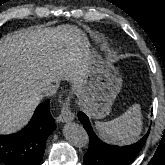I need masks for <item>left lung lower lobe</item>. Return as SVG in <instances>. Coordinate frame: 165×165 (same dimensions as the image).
<instances>
[{"instance_id":"obj_1","label":"left lung lower lobe","mask_w":165,"mask_h":165,"mask_svg":"<svg viewBox=\"0 0 165 165\" xmlns=\"http://www.w3.org/2000/svg\"><path fill=\"white\" fill-rule=\"evenodd\" d=\"M78 118L89 136V149L84 155L83 165H129L136 158L149 135L148 131L141 140L128 146L108 145L96 136L88 117L83 112L78 113Z\"/></svg>"}]
</instances>
